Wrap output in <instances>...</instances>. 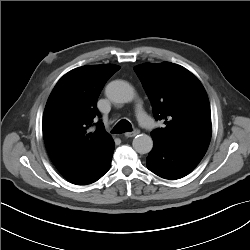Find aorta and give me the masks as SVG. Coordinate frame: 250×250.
<instances>
[{"mask_svg": "<svg viewBox=\"0 0 250 250\" xmlns=\"http://www.w3.org/2000/svg\"><path fill=\"white\" fill-rule=\"evenodd\" d=\"M106 96L114 103H129L134 99V89L126 81L115 80L105 89ZM134 150L139 154H147L152 150L153 140L146 134L137 135L132 142Z\"/></svg>", "mask_w": 250, "mask_h": 250, "instance_id": "1", "label": "aorta"}]
</instances>
